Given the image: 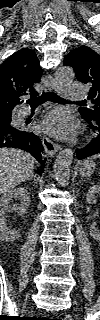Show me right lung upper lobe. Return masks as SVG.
Instances as JSON below:
<instances>
[{
	"instance_id": "cb5924a9",
	"label": "right lung upper lobe",
	"mask_w": 100,
	"mask_h": 320,
	"mask_svg": "<svg viewBox=\"0 0 100 320\" xmlns=\"http://www.w3.org/2000/svg\"><path fill=\"white\" fill-rule=\"evenodd\" d=\"M42 70L34 51L21 49L0 65V120L11 118L13 108L22 103L23 95H38L34 85Z\"/></svg>"
}]
</instances>
